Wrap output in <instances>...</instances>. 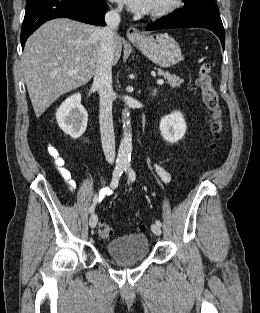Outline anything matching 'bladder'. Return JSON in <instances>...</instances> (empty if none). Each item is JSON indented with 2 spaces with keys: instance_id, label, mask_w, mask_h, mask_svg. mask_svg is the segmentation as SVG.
<instances>
[{
  "instance_id": "1",
  "label": "bladder",
  "mask_w": 260,
  "mask_h": 313,
  "mask_svg": "<svg viewBox=\"0 0 260 313\" xmlns=\"http://www.w3.org/2000/svg\"><path fill=\"white\" fill-rule=\"evenodd\" d=\"M108 257L121 266L135 265L150 254L147 236L142 233L130 234L111 240L105 246Z\"/></svg>"
}]
</instances>
